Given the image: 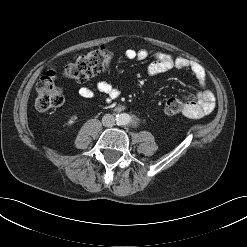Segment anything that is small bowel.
<instances>
[{"instance_id":"obj_1","label":"small bowel","mask_w":247,"mask_h":247,"mask_svg":"<svg viewBox=\"0 0 247 247\" xmlns=\"http://www.w3.org/2000/svg\"><path fill=\"white\" fill-rule=\"evenodd\" d=\"M149 56L150 52L145 49H129L125 52V57L134 61H143ZM171 69L189 71L200 87L195 97L187 99L185 103L186 109L183 114L188 118L194 119L209 114L214 109L215 102L213 93L205 88L207 76L204 68L199 63L184 57H174L169 53L158 51L154 53V60L148 65L147 72L149 75H158ZM96 90L111 99H115L119 95L118 89L105 81L98 82ZM79 94L85 99H92L95 96L94 91L89 88H81Z\"/></svg>"}]
</instances>
